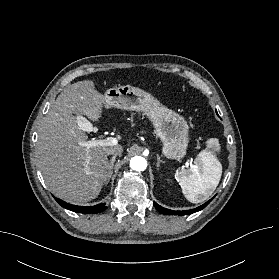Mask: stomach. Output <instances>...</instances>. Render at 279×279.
I'll return each instance as SVG.
<instances>
[{"instance_id":"0dacf381","label":"stomach","mask_w":279,"mask_h":279,"mask_svg":"<svg viewBox=\"0 0 279 279\" xmlns=\"http://www.w3.org/2000/svg\"><path fill=\"white\" fill-rule=\"evenodd\" d=\"M105 107L143 112L154 126L161 140L164 156L181 159L188 146V125L184 117L161 104L150 93L130 85L108 89L104 95Z\"/></svg>"}]
</instances>
